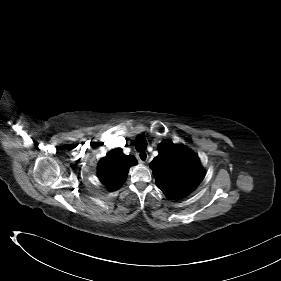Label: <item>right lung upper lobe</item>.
<instances>
[{
  "mask_svg": "<svg viewBox=\"0 0 281 281\" xmlns=\"http://www.w3.org/2000/svg\"><path fill=\"white\" fill-rule=\"evenodd\" d=\"M137 160L131 155H124L119 148L111 150L98 164V177L110 190L118 189L125 182L129 167Z\"/></svg>",
  "mask_w": 281,
  "mask_h": 281,
  "instance_id": "obj_1",
  "label": "right lung upper lobe"
}]
</instances>
